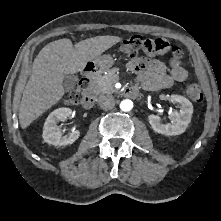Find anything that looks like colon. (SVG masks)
<instances>
[{"label": "colon", "instance_id": "colon-1", "mask_svg": "<svg viewBox=\"0 0 221 221\" xmlns=\"http://www.w3.org/2000/svg\"><path fill=\"white\" fill-rule=\"evenodd\" d=\"M168 47V43L163 39H144L139 35L132 36L126 40H124L120 46V52L127 57H135L140 50L145 49H155V50H163ZM171 49L181 50L174 46ZM182 56V52H181ZM90 90V84H88L84 79H81L75 86V88L69 93L66 98V103L69 105H79L84 103L85 96ZM187 95L194 101H201L203 99V94L201 91V87L198 83H190L186 88Z\"/></svg>", "mask_w": 221, "mask_h": 221}]
</instances>
